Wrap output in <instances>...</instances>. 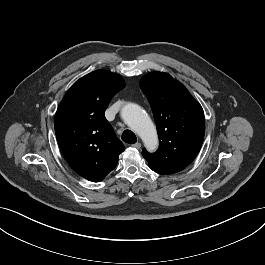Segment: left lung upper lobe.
Listing matches in <instances>:
<instances>
[{
    "label": "left lung upper lobe",
    "instance_id": "left-lung-upper-lobe-1",
    "mask_svg": "<svg viewBox=\"0 0 265 265\" xmlns=\"http://www.w3.org/2000/svg\"><path fill=\"white\" fill-rule=\"evenodd\" d=\"M140 87L151 105L160 139L155 153L143 149L142 155L156 173H177L195 159L201 148L203 109L186 87L167 73L144 76Z\"/></svg>",
    "mask_w": 265,
    "mask_h": 265
}]
</instances>
